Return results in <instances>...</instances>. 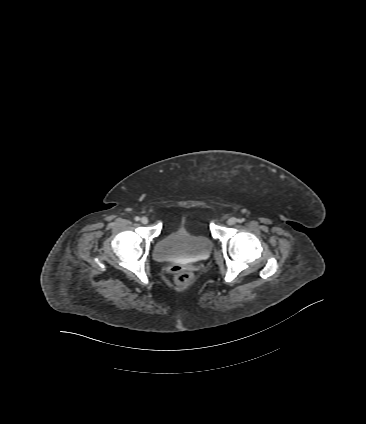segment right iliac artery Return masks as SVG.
Returning a JSON list of instances; mask_svg holds the SVG:
<instances>
[{
    "label": "right iliac artery",
    "instance_id": "82829eb1",
    "mask_svg": "<svg viewBox=\"0 0 366 424\" xmlns=\"http://www.w3.org/2000/svg\"><path fill=\"white\" fill-rule=\"evenodd\" d=\"M140 218L138 216L135 217V221H139Z\"/></svg>",
    "mask_w": 366,
    "mask_h": 424
}]
</instances>
